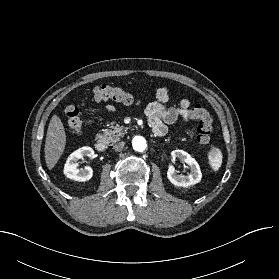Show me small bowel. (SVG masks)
I'll use <instances>...</instances> for the list:
<instances>
[{"label": "small bowel", "instance_id": "1", "mask_svg": "<svg viewBox=\"0 0 279 279\" xmlns=\"http://www.w3.org/2000/svg\"><path fill=\"white\" fill-rule=\"evenodd\" d=\"M170 90L167 87H161L156 92V99L150 102L145 110L148 122L153 132L158 136H164L168 133V125L176 122L178 119L184 122L191 120L189 99H182L178 106H167ZM109 113L115 112L112 105L106 106Z\"/></svg>", "mask_w": 279, "mask_h": 279}]
</instances>
